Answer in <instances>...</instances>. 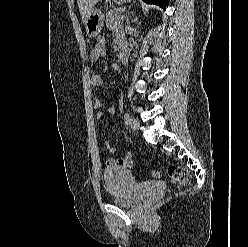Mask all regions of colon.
I'll return each mask as SVG.
<instances>
[{"label":"colon","instance_id":"obj_1","mask_svg":"<svg viewBox=\"0 0 248 247\" xmlns=\"http://www.w3.org/2000/svg\"><path fill=\"white\" fill-rule=\"evenodd\" d=\"M168 175L171 178V180L177 184V185H185L188 183L189 176L187 171L178 165H170L167 169ZM151 175L154 178H157L159 176L158 172L152 171Z\"/></svg>","mask_w":248,"mask_h":247}]
</instances>
